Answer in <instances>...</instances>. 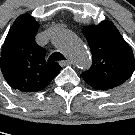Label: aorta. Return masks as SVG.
Masks as SVG:
<instances>
[{
	"label": "aorta",
	"instance_id": "obj_1",
	"mask_svg": "<svg viewBox=\"0 0 135 135\" xmlns=\"http://www.w3.org/2000/svg\"><path fill=\"white\" fill-rule=\"evenodd\" d=\"M54 46L66 53L73 63L80 68L90 65V55L81 40L71 31L57 30L52 36Z\"/></svg>",
	"mask_w": 135,
	"mask_h": 135
}]
</instances>
